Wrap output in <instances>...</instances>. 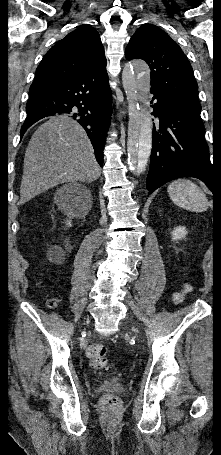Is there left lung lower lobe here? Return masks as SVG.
I'll return each mask as SVG.
<instances>
[{
    "label": "left lung lower lobe",
    "instance_id": "left-lung-lower-lobe-1",
    "mask_svg": "<svg viewBox=\"0 0 221 455\" xmlns=\"http://www.w3.org/2000/svg\"><path fill=\"white\" fill-rule=\"evenodd\" d=\"M152 115L159 118V129L153 128L152 152L146 179L148 195L176 178L195 177L213 192L215 169L203 136L200 113L190 110L157 91Z\"/></svg>",
    "mask_w": 221,
    "mask_h": 455
}]
</instances>
